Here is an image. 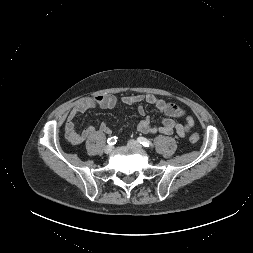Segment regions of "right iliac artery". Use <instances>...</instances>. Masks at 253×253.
<instances>
[{"label":"right iliac artery","mask_w":253,"mask_h":253,"mask_svg":"<svg viewBox=\"0 0 253 253\" xmlns=\"http://www.w3.org/2000/svg\"><path fill=\"white\" fill-rule=\"evenodd\" d=\"M107 142L109 145H114L117 142V137H115V136L110 137V138H108Z\"/></svg>","instance_id":"1"}]
</instances>
